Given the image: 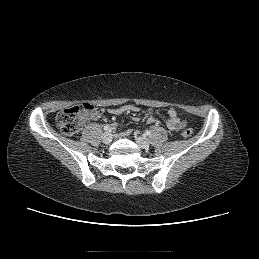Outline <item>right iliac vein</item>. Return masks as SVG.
<instances>
[{
  "instance_id": "63e3f726",
  "label": "right iliac vein",
  "mask_w": 259,
  "mask_h": 259,
  "mask_svg": "<svg viewBox=\"0 0 259 259\" xmlns=\"http://www.w3.org/2000/svg\"><path fill=\"white\" fill-rule=\"evenodd\" d=\"M102 141L105 144H109L112 141V135L110 132H105L102 136Z\"/></svg>"
}]
</instances>
